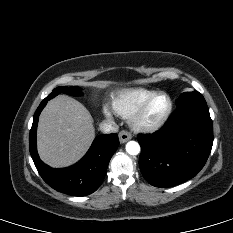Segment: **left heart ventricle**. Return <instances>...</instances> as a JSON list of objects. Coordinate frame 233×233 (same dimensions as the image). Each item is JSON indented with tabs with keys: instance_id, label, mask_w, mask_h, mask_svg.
Returning <instances> with one entry per match:
<instances>
[{
	"instance_id": "obj_1",
	"label": "left heart ventricle",
	"mask_w": 233,
	"mask_h": 233,
	"mask_svg": "<svg viewBox=\"0 0 233 233\" xmlns=\"http://www.w3.org/2000/svg\"><path fill=\"white\" fill-rule=\"evenodd\" d=\"M168 107V100L165 96H159L152 101V103L147 108L144 116L143 122L146 124H151L159 120L165 113Z\"/></svg>"
}]
</instances>
